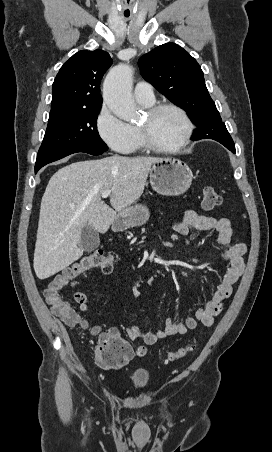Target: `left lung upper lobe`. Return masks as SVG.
I'll use <instances>...</instances> for the list:
<instances>
[{"instance_id":"obj_1","label":"left lung upper lobe","mask_w":272,"mask_h":452,"mask_svg":"<svg viewBox=\"0 0 272 452\" xmlns=\"http://www.w3.org/2000/svg\"><path fill=\"white\" fill-rule=\"evenodd\" d=\"M138 63L145 80L188 112L189 118L198 127L192 136L194 139L212 138L218 141L230 138L208 93L203 71L187 51L175 43H166L140 57ZM230 143L235 149L233 141Z\"/></svg>"}]
</instances>
